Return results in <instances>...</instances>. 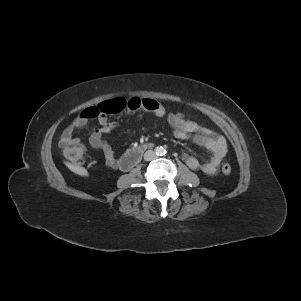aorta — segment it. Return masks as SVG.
Masks as SVG:
<instances>
[{"instance_id": "obj_1", "label": "aorta", "mask_w": 301, "mask_h": 301, "mask_svg": "<svg viewBox=\"0 0 301 301\" xmlns=\"http://www.w3.org/2000/svg\"><path fill=\"white\" fill-rule=\"evenodd\" d=\"M165 153H166L165 148H163V147H157V148H156V154H157V155H163V154H165Z\"/></svg>"}]
</instances>
